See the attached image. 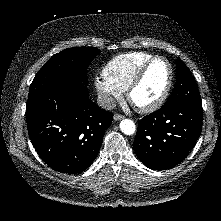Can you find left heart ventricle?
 Listing matches in <instances>:
<instances>
[{
  "mask_svg": "<svg viewBox=\"0 0 221 221\" xmlns=\"http://www.w3.org/2000/svg\"><path fill=\"white\" fill-rule=\"evenodd\" d=\"M168 79V67L162 60H156L148 68L142 82L133 93L137 105L154 102L163 92Z\"/></svg>",
  "mask_w": 221,
  "mask_h": 221,
  "instance_id": "1",
  "label": "left heart ventricle"
}]
</instances>
